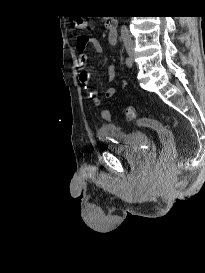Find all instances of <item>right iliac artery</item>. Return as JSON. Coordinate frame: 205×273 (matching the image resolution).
Wrapping results in <instances>:
<instances>
[{"label":"right iliac artery","mask_w":205,"mask_h":273,"mask_svg":"<svg viewBox=\"0 0 205 273\" xmlns=\"http://www.w3.org/2000/svg\"><path fill=\"white\" fill-rule=\"evenodd\" d=\"M125 64H126V66H127L128 68H131V67H132V61H131V59L127 57V58L125 59Z\"/></svg>","instance_id":"82829eb1"}]
</instances>
